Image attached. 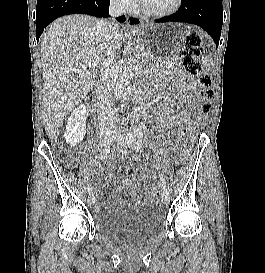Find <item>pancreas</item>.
I'll return each mask as SVG.
<instances>
[{"instance_id":"cf45deb5","label":"pancreas","mask_w":265,"mask_h":273,"mask_svg":"<svg viewBox=\"0 0 265 273\" xmlns=\"http://www.w3.org/2000/svg\"><path fill=\"white\" fill-rule=\"evenodd\" d=\"M137 53L141 54L140 61L144 64H147L149 61H153L155 58H153L150 54H148L144 48H138L136 50Z\"/></svg>"}]
</instances>
